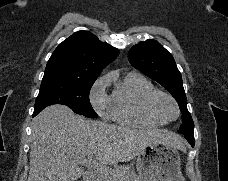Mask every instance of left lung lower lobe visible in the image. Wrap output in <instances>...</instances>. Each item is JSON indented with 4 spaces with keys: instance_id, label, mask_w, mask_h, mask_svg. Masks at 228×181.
I'll return each instance as SVG.
<instances>
[{
    "instance_id": "1",
    "label": "left lung lower lobe",
    "mask_w": 228,
    "mask_h": 181,
    "mask_svg": "<svg viewBox=\"0 0 228 181\" xmlns=\"http://www.w3.org/2000/svg\"><path fill=\"white\" fill-rule=\"evenodd\" d=\"M184 137L188 140L192 147H194L195 140H194V132L188 131L184 133Z\"/></svg>"
}]
</instances>
